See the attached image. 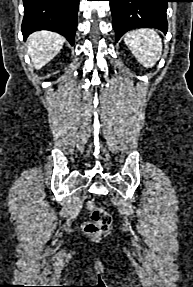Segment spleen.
<instances>
[{
  "instance_id": "spleen-1",
  "label": "spleen",
  "mask_w": 193,
  "mask_h": 287,
  "mask_svg": "<svg viewBox=\"0 0 193 287\" xmlns=\"http://www.w3.org/2000/svg\"><path fill=\"white\" fill-rule=\"evenodd\" d=\"M124 42L137 61L146 68L153 67L161 57L162 41L153 29H137L125 34Z\"/></svg>"
}]
</instances>
